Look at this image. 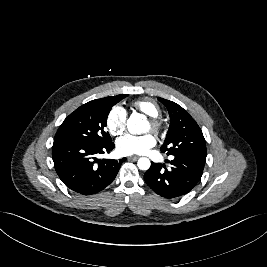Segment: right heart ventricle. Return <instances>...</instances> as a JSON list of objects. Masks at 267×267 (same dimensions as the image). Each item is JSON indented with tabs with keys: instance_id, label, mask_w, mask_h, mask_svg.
I'll use <instances>...</instances> for the list:
<instances>
[{
	"instance_id": "obj_1",
	"label": "right heart ventricle",
	"mask_w": 267,
	"mask_h": 267,
	"mask_svg": "<svg viewBox=\"0 0 267 267\" xmlns=\"http://www.w3.org/2000/svg\"><path fill=\"white\" fill-rule=\"evenodd\" d=\"M132 106L134 109L142 112L143 114L147 115L150 118L158 117L161 114L159 105L155 101L149 98H142L135 100L132 103Z\"/></svg>"
}]
</instances>
